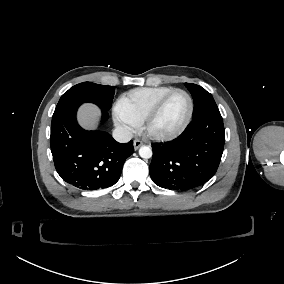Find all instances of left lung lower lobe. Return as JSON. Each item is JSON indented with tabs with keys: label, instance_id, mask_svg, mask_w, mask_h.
I'll return each mask as SVG.
<instances>
[{
	"label": "left lung lower lobe",
	"instance_id": "left-lung-lower-lobe-1",
	"mask_svg": "<svg viewBox=\"0 0 284 284\" xmlns=\"http://www.w3.org/2000/svg\"><path fill=\"white\" fill-rule=\"evenodd\" d=\"M225 143L220 112L194 118L175 140L153 146L149 173L153 182L175 191L202 186L217 171Z\"/></svg>",
	"mask_w": 284,
	"mask_h": 284
}]
</instances>
